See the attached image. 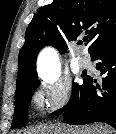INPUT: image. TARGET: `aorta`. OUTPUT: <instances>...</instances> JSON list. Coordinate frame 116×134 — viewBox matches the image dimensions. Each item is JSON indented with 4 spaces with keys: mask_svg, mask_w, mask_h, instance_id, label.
Instances as JSON below:
<instances>
[{
    "mask_svg": "<svg viewBox=\"0 0 116 134\" xmlns=\"http://www.w3.org/2000/svg\"><path fill=\"white\" fill-rule=\"evenodd\" d=\"M38 74L46 83H54L60 77V62L52 48H45L38 58Z\"/></svg>",
    "mask_w": 116,
    "mask_h": 134,
    "instance_id": "1",
    "label": "aorta"
}]
</instances>
